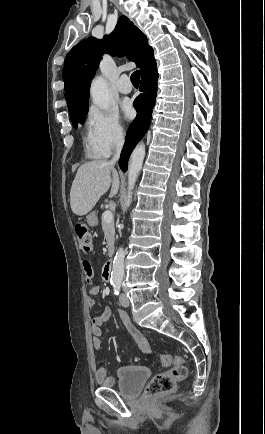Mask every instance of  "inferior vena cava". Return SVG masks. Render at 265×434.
I'll use <instances>...</instances> for the list:
<instances>
[{
	"label": "inferior vena cava",
	"mask_w": 265,
	"mask_h": 434,
	"mask_svg": "<svg viewBox=\"0 0 265 434\" xmlns=\"http://www.w3.org/2000/svg\"><path fill=\"white\" fill-rule=\"evenodd\" d=\"M123 144H124V136H122L121 134V136H119V140H117L116 142V154L115 156H113L110 164H115V162L119 160Z\"/></svg>",
	"instance_id": "602c4592"
}]
</instances>
